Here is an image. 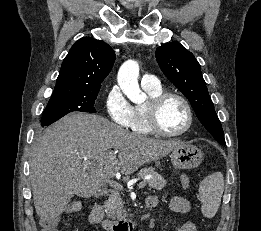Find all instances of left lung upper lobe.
<instances>
[{
	"instance_id": "obj_1",
	"label": "left lung upper lobe",
	"mask_w": 261,
	"mask_h": 231,
	"mask_svg": "<svg viewBox=\"0 0 261 231\" xmlns=\"http://www.w3.org/2000/svg\"><path fill=\"white\" fill-rule=\"evenodd\" d=\"M156 59L166 77L190 101L200 122L224 145L223 129L194 55L180 43L170 42L157 48Z\"/></svg>"
}]
</instances>
